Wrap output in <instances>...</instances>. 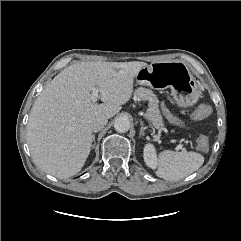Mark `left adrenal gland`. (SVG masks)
Returning <instances> with one entry per match:
<instances>
[{
  "label": "left adrenal gland",
  "mask_w": 241,
  "mask_h": 241,
  "mask_svg": "<svg viewBox=\"0 0 241 241\" xmlns=\"http://www.w3.org/2000/svg\"><path fill=\"white\" fill-rule=\"evenodd\" d=\"M145 129L146 127H144V123L141 121V128H140V134H139L140 136L144 135Z\"/></svg>",
  "instance_id": "left-adrenal-gland-1"
}]
</instances>
